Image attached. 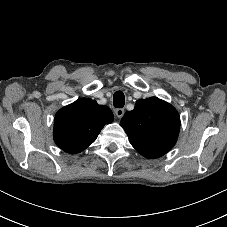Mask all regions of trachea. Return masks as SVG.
Segmentation results:
<instances>
[{"mask_svg":"<svg viewBox=\"0 0 227 227\" xmlns=\"http://www.w3.org/2000/svg\"><path fill=\"white\" fill-rule=\"evenodd\" d=\"M114 107L122 108L125 104V96L122 91H116L113 96Z\"/></svg>","mask_w":227,"mask_h":227,"instance_id":"trachea-1","label":"trachea"}]
</instances>
